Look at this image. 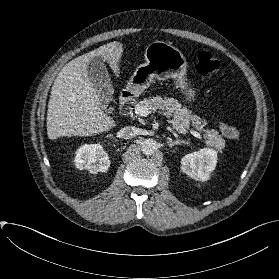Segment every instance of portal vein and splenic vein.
<instances>
[{
	"mask_svg": "<svg viewBox=\"0 0 279 279\" xmlns=\"http://www.w3.org/2000/svg\"><path fill=\"white\" fill-rule=\"evenodd\" d=\"M135 113H136L137 115H139V116L146 117V116H148L151 112H150L149 109L146 108V107L137 106V107H135ZM190 133H191L194 137H196V138L202 140V136H201L198 132L193 131V130H190Z\"/></svg>",
	"mask_w": 279,
	"mask_h": 279,
	"instance_id": "obj_1",
	"label": "portal vein and splenic vein"
}]
</instances>
